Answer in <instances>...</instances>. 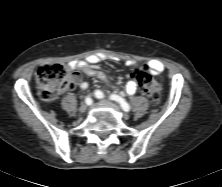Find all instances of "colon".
I'll return each mask as SVG.
<instances>
[{
  "label": "colon",
  "mask_w": 222,
  "mask_h": 187,
  "mask_svg": "<svg viewBox=\"0 0 222 187\" xmlns=\"http://www.w3.org/2000/svg\"><path fill=\"white\" fill-rule=\"evenodd\" d=\"M76 78L66 65L58 62H48L41 65L37 71L38 90L42 99L52 101L61 93L73 86ZM136 80L148 100L156 105L160 102V86L150 73L140 70Z\"/></svg>",
  "instance_id": "1"
}]
</instances>
